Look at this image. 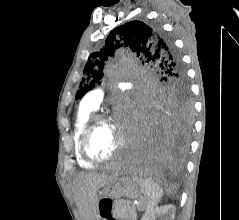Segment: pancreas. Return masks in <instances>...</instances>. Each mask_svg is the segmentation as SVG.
Instances as JSON below:
<instances>
[{
    "label": "pancreas",
    "instance_id": "cf45deb5",
    "mask_svg": "<svg viewBox=\"0 0 239 220\" xmlns=\"http://www.w3.org/2000/svg\"><path fill=\"white\" fill-rule=\"evenodd\" d=\"M112 215L114 218L121 220H136L137 213L134 205H130L128 202L116 201L112 205Z\"/></svg>",
    "mask_w": 239,
    "mask_h": 220
}]
</instances>
